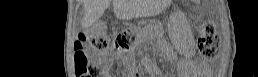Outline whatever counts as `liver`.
<instances>
[{"instance_id":"liver-1","label":"liver","mask_w":258,"mask_h":77,"mask_svg":"<svg viewBox=\"0 0 258 77\" xmlns=\"http://www.w3.org/2000/svg\"><path fill=\"white\" fill-rule=\"evenodd\" d=\"M111 0H84L83 25L90 26L97 21L109 7ZM114 13L117 18L129 19L133 12L130 3L125 0H113Z\"/></svg>"}]
</instances>
